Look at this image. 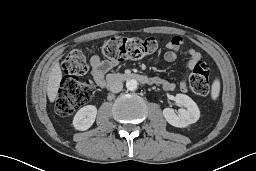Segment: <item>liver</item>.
<instances>
[{
  "label": "liver",
  "mask_w": 256,
  "mask_h": 171,
  "mask_svg": "<svg viewBox=\"0 0 256 171\" xmlns=\"http://www.w3.org/2000/svg\"><path fill=\"white\" fill-rule=\"evenodd\" d=\"M61 78H62L61 68L59 66V63L55 62L49 74V79L47 84V95L50 102H54L57 97Z\"/></svg>",
  "instance_id": "1"
}]
</instances>
